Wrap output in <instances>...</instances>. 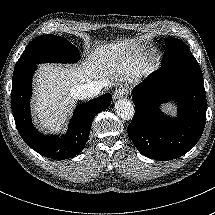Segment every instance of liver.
Here are the masks:
<instances>
[{
  "label": "liver",
  "instance_id": "obj_1",
  "mask_svg": "<svg viewBox=\"0 0 215 215\" xmlns=\"http://www.w3.org/2000/svg\"><path fill=\"white\" fill-rule=\"evenodd\" d=\"M137 42L118 41L97 47L79 66L40 64L33 77L32 115L39 130L58 132L76 106L74 90L93 79L132 82L145 75L147 54ZM114 74V77H110ZM111 82H110V80Z\"/></svg>",
  "mask_w": 215,
  "mask_h": 215
}]
</instances>
